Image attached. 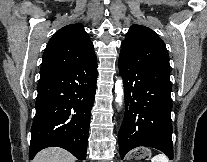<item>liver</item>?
<instances>
[{
  "mask_svg": "<svg viewBox=\"0 0 207 162\" xmlns=\"http://www.w3.org/2000/svg\"><path fill=\"white\" fill-rule=\"evenodd\" d=\"M75 157L59 147H49L41 150L32 162H75Z\"/></svg>",
  "mask_w": 207,
  "mask_h": 162,
  "instance_id": "liver-1",
  "label": "liver"
}]
</instances>
